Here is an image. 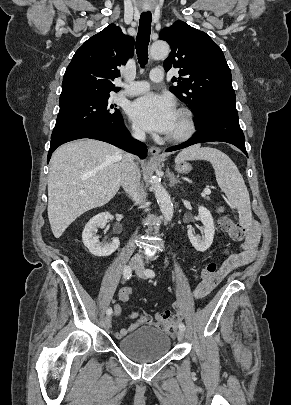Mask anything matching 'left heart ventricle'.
Instances as JSON below:
<instances>
[{"instance_id": "b2bd125f", "label": "left heart ventricle", "mask_w": 291, "mask_h": 405, "mask_svg": "<svg viewBox=\"0 0 291 405\" xmlns=\"http://www.w3.org/2000/svg\"><path fill=\"white\" fill-rule=\"evenodd\" d=\"M182 129H183V119L179 114L176 113V117H175L173 127H172V129L170 130V132L168 134L178 133Z\"/></svg>"}]
</instances>
